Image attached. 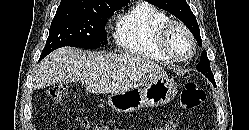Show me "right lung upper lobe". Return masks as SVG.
<instances>
[{"instance_id": "1", "label": "right lung upper lobe", "mask_w": 249, "mask_h": 130, "mask_svg": "<svg viewBox=\"0 0 249 130\" xmlns=\"http://www.w3.org/2000/svg\"><path fill=\"white\" fill-rule=\"evenodd\" d=\"M128 2L129 0H62L59 7L96 11L107 6Z\"/></svg>"}]
</instances>
